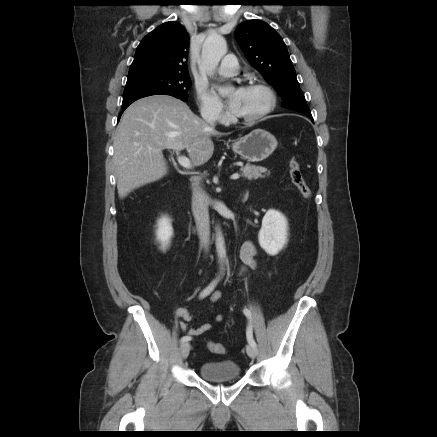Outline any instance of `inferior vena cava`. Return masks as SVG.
<instances>
[{
  "instance_id": "obj_1",
  "label": "inferior vena cava",
  "mask_w": 437,
  "mask_h": 437,
  "mask_svg": "<svg viewBox=\"0 0 437 437\" xmlns=\"http://www.w3.org/2000/svg\"><path fill=\"white\" fill-rule=\"evenodd\" d=\"M203 119L212 127L215 126L216 114L213 112H203ZM192 212L197 226L201 245L207 249L210 242V224L208 212V196L196 183L192 190Z\"/></svg>"
}]
</instances>
